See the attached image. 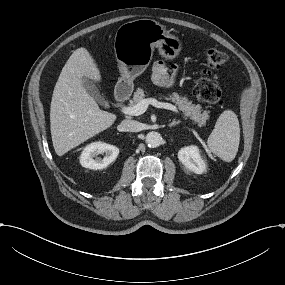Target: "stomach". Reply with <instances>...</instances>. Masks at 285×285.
Here are the masks:
<instances>
[{
    "mask_svg": "<svg viewBox=\"0 0 285 285\" xmlns=\"http://www.w3.org/2000/svg\"><path fill=\"white\" fill-rule=\"evenodd\" d=\"M165 61L176 60L183 50L181 39L152 19H139L121 25L115 35L114 51L120 81L133 83L150 65L154 50Z\"/></svg>",
    "mask_w": 285,
    "mask_h": 285,
    "instance_id": "1",
    "label": "stomach"
}]
</instances>
